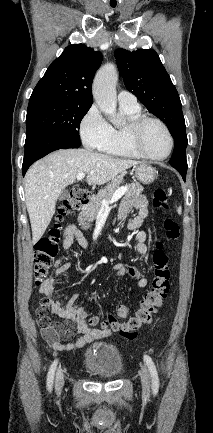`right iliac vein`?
Masks as SVG:
<instances>
[{
    "label": "right iliac vein",
    "mask_w": 213,
    "mask_h": 433,
    "mask_svg": "<svg viewBox=\"0 0 213 433\" xmlns=\"http://www.w3.org/2000/svg\"><path fill=\"white\" fill-rule=\"evenodd\" d=\"M63 385H64L63 370H59L56 374V381H55V388L58 393L61 392Z\"/></svg>",
    "instance_id": "63e3f726"
}]
</instances>
